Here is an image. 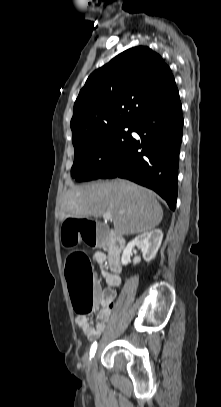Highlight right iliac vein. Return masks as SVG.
Returning <instances> with one entry per match:
<instances>
[{
  "mask_svg": "<svg viewBox=\"0 0 221 407\" xmlns=\"http://www.w3.org/2000/svg\"><path fill=\"white\" fill-rule=\"evenodd\" d=\"M96 364H97V355L95 356V358L89 364V367H88V375L89 376H92L94 374L95 369H96Z\"/></svg>",
  "mask_w": 221,
  "mask_h": 407,
  "instance_id": "right-iliac-vein-1",
  "label": "right iliac vein"
}]
</instances>
